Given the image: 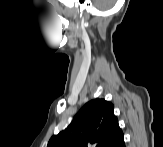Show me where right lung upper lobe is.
Returning a JSON list of instances; mask_svg holds the SVG:
<instances>
[{
    "mask_svg": "<svg viewBox=\"0 0 163 147\" xmlns=\"http://www.w3.org/2000/svg\"><path fill=\"white\" fill-rule=\"evenodd\" d=\"M113 109L104 99L89 101L65 130L51 137L47 147H111L123 136Z\"/></svg>",
    "mask_w": 163,
    "mask_h": 147,
    "instance_id": "1",
    "label": "right lung upper lobe"
}]
</instances>
